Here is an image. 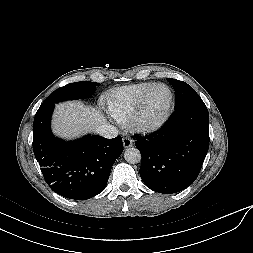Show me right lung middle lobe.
Segmentation results:
<instances>
[{
	"label": "right lung middle lobe",
	"mask_w": 253,
	"mask_h": 253,
	"mask_svg": "<svg viewBox=\"0 0 253 253\" xmlns=\"http://www.w3.org/2000/svg\"><path fill=\"white\" fill-rule=\"evenodd\" d=\"M98 85L99 83L90 81H81L67 84L51 93L42 104L58 103L65 100L87 98L93 93L95 87Z\"/></svg>",
	"instance_id": "dd1d6c3e"
}]
</instances>
